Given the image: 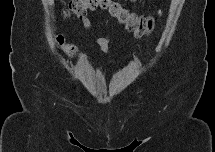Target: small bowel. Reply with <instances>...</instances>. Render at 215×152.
<instances>
[{"label":"small bowel","instance_id":"c3829d8e","mask_svg":"<svg viewBox=\"0 0 215 152\" xmlns=\"http://www.w3.org/2000/svg\"><path fill=\"white\" fill-rule=\"evenodd\" d=\"M80 20H81L82 25L85 28H87V29L90 28L91 22H90L88 17L83 16V17L80 18ZM96 44L99 46V48L101 49V51L104 54H108L110 52L109 42H108V40L106 38L98 37L96 39Z\"/></svg>","mask_w":215,"mask_h":152}]
</instances>
